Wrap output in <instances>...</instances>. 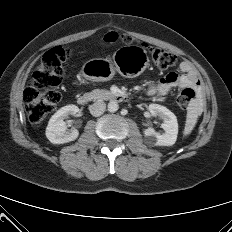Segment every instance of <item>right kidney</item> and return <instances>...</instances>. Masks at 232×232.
Segmentation results:
<instances>
[{
    "label": "right kidney",
    "mask_w": 232,
    "mask_h": 232,
    "mask_svg": "<svg viewBox=\"0 0 232 232\" xmlns=\"http://www.w3.org/2000/svg\"><path fill=\"white\" fill-rule=\"evenodd\" d=\"M79 112L76 105H67L60 108L49 120L46 128V137L53 144H64L77 139L79 132L73 129L67 132V126L64 119L69 115L75 116Z\"/></svg>",
    "instance_id": "1"
}]
</instances>
